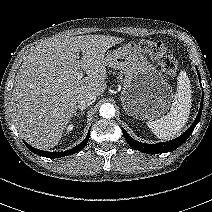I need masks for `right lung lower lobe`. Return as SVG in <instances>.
<instances>
[{
    "label": "right lung lower lobe",
    "instance_id": "1",
    "mask_svg": "<svg viewBox=\"0 0 212 212\" xmlns=\"http://www.w3.org/2000/svg\"><path fill=\"white\" fill-rule=\"evenodd\" d=\"M89 133H90V131H88L86 138L79 145H77L76 147H74L70 150H67L65 152H46V151H42V150H39V149H36V148L30 146L26 142H24V143L35 154H38V155L44 156V157H48V158H59V157L77 153L78 151L82 150V148H84V146L87 144V142L89 140Z\"/></svg>",
    "mask_w": 212,
    "mask_h": 212
}]
</instances>
